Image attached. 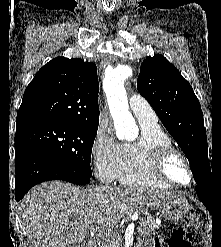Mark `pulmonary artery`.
<instances>
[{
    "mask_svg": "<svg viewBox=\"0 0 221 247\" xmlns=\"http://www.w3.org/2000/svg\"><path fill=\"white\" fill-rule=\"evenodd\" d=\"M129 106L140 124L155 125L158 118L150 104L140 95L132 94L129 98Z\"/></svg>",
    "mask_w": 221,
    "mask_h": 247,
    "instance_id": "1",
    "label": "pulmonary artery"
}]
</instances>
